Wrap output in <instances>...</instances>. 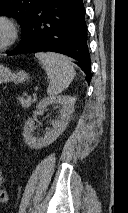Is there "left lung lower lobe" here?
Here are the masks:
<instances>
[{
	"label": "left lung lower lobe",
	"mask_w": 128,
	"mask_h": 213,
	"mask_svg": "<svg viewBox=\"0 0 128 213\" xmlns=\"http://www.w3.org/2000/svg\"><path fill=\"white\" fill-rule=\"evenodd\" d=\"M41 51L74 58L90 81L91 60L82 0H38L19 45L8 55Z\"/></svg>",
	"instance_id": "obj_1"
}]
</instances>
